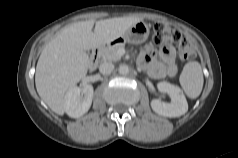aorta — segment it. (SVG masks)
<instances>
[{
  "label": "aorta",
  "instance_id": "1",
  "mask_svg": "<svg viewBox=\"0 0 238 158\" xmlns=\"http://www.w3.org/2000/svg\"><path fill=\"white\" fill-rule=\"evenodd\" d=\"M119 73L121 75H127L129 73V67L127 65H120L119 66Z\"/></svg>",
  "mask_w": 238,
  "mask_h": 158
}]
</instances>
